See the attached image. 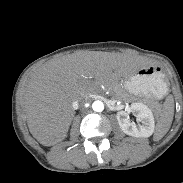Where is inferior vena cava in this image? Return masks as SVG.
I'll return each mask as SVG.
<instances>
[{"mask_svg": "<svg viewBox=\"0 0 183 183\" xmlns=\"http://www.w3.org/2000/svg\"><path fill=\"white\" fill-rule=\"evenodd\" d=\"M88 100H89L88 96H83L79 100L73 102V107L76 108V107H78L79 103L83 104V103L87 102Z\"/></svg>", "mask_w": 183, "mask_h": 183, "instance_id": "602c4592", "label": "inferior vena cava"}]
</instances>
